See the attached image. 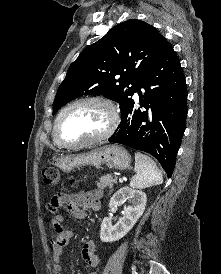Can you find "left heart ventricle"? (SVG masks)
<instances>
[{
  "label": "left heart ventricle",
  "instance_id": "left-heart-ventricle-1",
  "mask_svg": "<svg viewBox=\"0 0 221 274\" xmlns=\"http://www.w3.org/2000/svg\"><path fill=\"white\" fill-rule=\"evenodd\" d=\"M109 124L107 109L96 103H83L69 109L59 126L61 139L68 143L88 140L101 134Z\"/></svg>",
  "mask_w": 221,
  "mask_h": 274
}]
</instances>
